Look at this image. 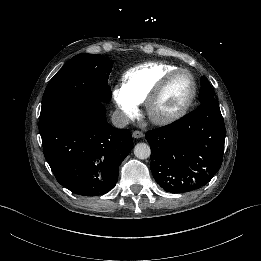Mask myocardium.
<instances>
[{
  "label": "myocardium",
  "instance_id": "1",
  "mask_svg": "<svg viewBox=\"0 0 261 261\" xmlns=\"http://www.w3.org/2000/svg\"><path fill=\"white\" fill-rule=\"evenodd\" d=\"M179 74L186 75L190 80L192 91L189 98L178 110L171 113H159L157 111V107L159 103L163 99L173 79ZM196 94H197V84L195 82L193 75L185 69L175 68L174 70H172L171 72L165 75V77L161 80L159 85L156 87V89L152 92V94L147 99L146 112L149 120L156 125H167L182 118L187 113L192 103L194 102L196 98Z\"/></svg>",
  "mask_w": 261,
  "mask_h": 261
}]
</instances>
